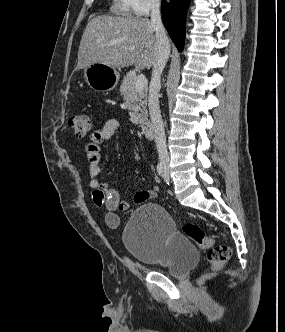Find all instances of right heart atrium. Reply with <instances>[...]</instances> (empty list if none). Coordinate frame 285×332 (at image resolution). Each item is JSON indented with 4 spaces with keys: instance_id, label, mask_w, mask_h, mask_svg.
I'll return each instance as SVG.
<instances>
[{
    "instance_id": "1",
    "label": "right heart atrium",
    "mask_w": 285,
    "mask_h": 332,
    "mask_svg": "<svg viewBox=\"0 0 285 332\" xmlns=\"http://www.w3.org/2000/svg\"><path fill=\"white\" fill-rule=\"evenodd\" d=\"M129 2L133 13L138 16H145L158 8L161 0H129Z\"/></svg>"
}]
</instances>
